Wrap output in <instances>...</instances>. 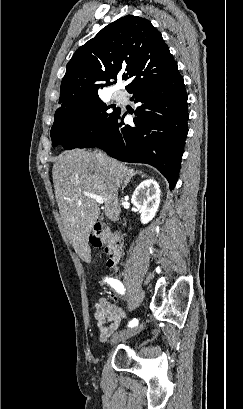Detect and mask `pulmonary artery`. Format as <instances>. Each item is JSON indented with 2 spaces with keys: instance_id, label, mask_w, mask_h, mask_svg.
Listing matches in <instances>:
<instances>
[{
  "instance_id": "obj_1",
  "label": "pulmonary artery",
  "mask_w": 243,
  "mask_h": 409,
  "mask_svg": "<svg viewBox=\"0 0 243 409\" xmlns=\"http://www.w3.org/2000/svg\"><path fill=\"white\" fill-rule=\"evenodd\" d=\"M113 96H114V98H115L116 100H118V101H124V100L126 99L125 93H124L123 91H121V90H116V91L113 93Z\"/></svg>"
}]
</instances>
